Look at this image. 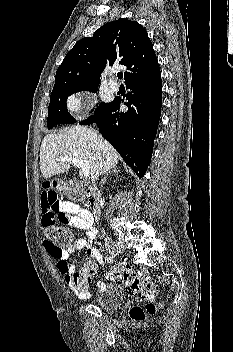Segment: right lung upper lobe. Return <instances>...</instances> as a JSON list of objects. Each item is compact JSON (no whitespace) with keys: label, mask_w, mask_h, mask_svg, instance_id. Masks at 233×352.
<instances>
[{"label":"right lung upper lobe","mask_w":233,"mask_h":352,"mask_svg":"<svg viewBox=\"0 0 233 352\" xmlns=\"http://www.w3.org/2000/svg\"><path fill=\"white\" fill-rule=\"evenodd\" d=\"M125 65V83L159 68L148 34L138 22L119 19L79 40L59 66L54 87L98 85L101 72L114 63Z\"/></svg>","instance_id":"1"}]
</instances>
